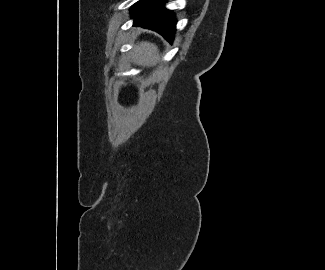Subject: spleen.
I'll return each instance as SVG.
<instances>
[{"label": "spleen", "instance_id": "obj_1", "mask_svg": "<svg viewBox=\"0 0 325 270\" xmlns=\"http://www.w3.org/2000/svg\"><path fill=\"white\" fill-rule=\"evenodd\" d=\"M158 58V47L153 43L141 42L133 49V61L139 66L152 65L157 62Z\"/></svg>", "mask_w": 325, "mask_h": 270}]
</instances>
